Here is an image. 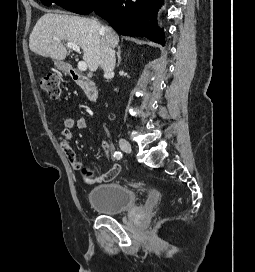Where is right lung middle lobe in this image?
<instances>
[{"instance_id":"dd1d6c3e","label":"right lung middle lobe","mask_w":255,"mask_h":272,"mask_svg":"<svg viewBox=\"0 0 255 272\" xmlns=\"http://www.w3.org/2000/svg\"><path fill=\"white\" fill-rule=\"evenodd\" d=\"M102 0H41V2L49 6L51 3H56L66 10L86 15L94 10Z\"/></svg>"}]
</instances>
